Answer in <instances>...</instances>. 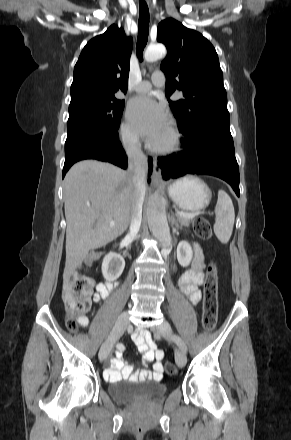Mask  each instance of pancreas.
Listing matches in <instances>:
<instances>
[{
	"label": "pancreas",
	"instance_id": "obj_1",
	"mask_svg": "<svg viewBox=\"0 0 291 440\" xmlns=\"http://www.w3.org/2000/svg\"><path fill=\"white\" fill-rule=\"evenodd\" d=\"M178 222L180 223L181 226H185V227H189V225L191 224V220L189 218L180 217V216H178Z\"/></svg>",
	"mask_w": 291,
	"mask_h": 440
}]
</instances>
